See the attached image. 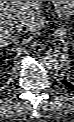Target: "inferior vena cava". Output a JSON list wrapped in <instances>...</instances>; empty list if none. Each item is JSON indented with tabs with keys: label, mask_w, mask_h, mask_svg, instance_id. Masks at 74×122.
Here are the masks:
<instances>
[{
	"label": "inferior vena cava",
	"mask_w": 74,
	"mask_h": 122,
	"mask_svg": "<svg viewBox=\"0 0 74 122\" xmlns=\"http://www.w3.org/2000/svg\"><path fill=\"white\" fill-rule=\"evenodd\" d=\"M12 26L16 31L20 32L26 28V23L22 21H14Z\"/></svg>",
	"instance_id": "inferior-vena-cava-1"
}]
</instances>
